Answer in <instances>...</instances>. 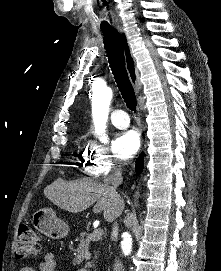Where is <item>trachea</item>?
<instances>
[{
  "label": "trachea",
  "instance_id": "trachea-1",
  "mask_svg": "<svg viewBox=\"0 0 221 271\" xmlns=\"http://www.w3.org/2000/svg\"><path fill=\"white\" fill-rule=\"evenodd\" d=\"M101 30L104 35V45L109 64L122 98L129 110L136 111L137 100L125 67V56L121 36L113 27H105L101 28Z\"/></svg>",
  "mask_w": 221,
  "mask_h": 271
}]
</instances>
